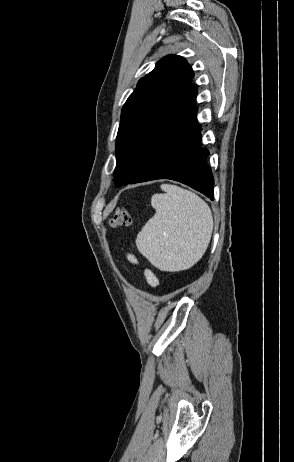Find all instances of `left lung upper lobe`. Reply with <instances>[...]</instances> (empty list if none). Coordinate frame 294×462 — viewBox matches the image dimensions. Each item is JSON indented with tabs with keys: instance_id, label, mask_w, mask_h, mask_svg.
Returning a JSON list of instances; mask_svg holds the SVG:
<instances>
[{
	"instance_id": "obj_1",
	"label": "left lung upper lobe",
	"mask_w": 294,
	"mask_h": 462,
	"mask_svg": "<svg viewBox=\"0 0 294 462\" xmlns=\"http://www.w3.org/2000/svg\"><path fill=\"white\" fill-rule=\"evenodd\" d=\"M194 74L181 56H166L155 68L141 78L121 112V123L116 138L117 165L114 176L156 106L167 105L179 98L191 83Z\"/></svg>"
}]
</instances>
